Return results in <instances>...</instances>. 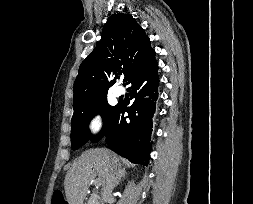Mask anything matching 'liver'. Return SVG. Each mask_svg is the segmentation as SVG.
Segmentation results:
<instances>
[{"instance_id":"1","label":"liver","mask_w":253,"mask_h":204,"mask_svg":"<svg viewBox=\"0 0 253 204\" xmlns=\"http://www.w3.org/2000/svg\"><path fill=\"white\" fill-rule=\"evenodd\" d=\"M121 168L120 158L108 149H89L74 161L68 170L64 189L69 204H83L89 185L98 176L104 184L111 169Z\"/></svg>"}]
</instances>
